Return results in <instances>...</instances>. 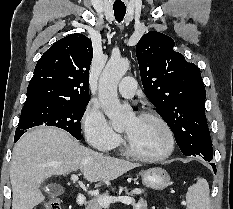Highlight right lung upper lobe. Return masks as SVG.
I'll return each instance as SVG.
<instances>
[{"instance_id": "1", "label": "right lung upper lobe", "mask_w": 233, "mask_h": 209, "mask_svg": "<svg viewBox=\"0 0 233 209\" xmlns=\"http://www.w3.org/2000/svg\"><path fill=\"white\" fill-rule=\"evenodd\" d=\"M92 57V42L83 34H70L55 42L35 67L25 105L88 101Z\"/></svg>"}]
</instances>
